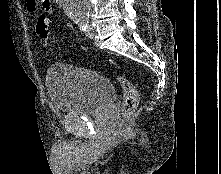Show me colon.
Masks as SVG:
<instances>
[{
  "label": "colon",
  "mask_w": 221,
  "mask_h": 174,
  "mask_svg": "<svg viewBox=\"0 0 221 174\" xmlns=\"http://www.w3.org/2000/svg\"><path fill=\"white\" fill-rule=\"evenodd\" d=\"M36 33L42 41L47 42L50 40V28L47 17L40 16L38 18L36 24ZM115 79L122 88L123 104L121 111L124 119H127L134 113L138 106V91L135 85L126 77L117 75L115 76Z\"/></svg>",
  "instance_id": "5ec220e1"
}]
</instances>
